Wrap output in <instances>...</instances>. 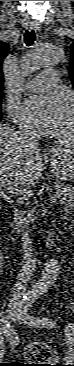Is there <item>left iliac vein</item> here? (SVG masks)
Returning <instances> with one entry per match:
<instances>
[{"label": "left iliac vein", "instance_id": "obj_1", "mask_svg": "<svg viewBox=\"0 0 74 366\" xmlns=\"http://www.w3.org/2000/svg\"><path fill=\"white\" fill-rule=\"evenodd\" d=\"M18 319L25 322V319H24V316H23L22 312L18 315ZM65 359L70 360V356H66Z\"/></svg>", "mask_w": 74, "mask_h": 366}]
</instances>
